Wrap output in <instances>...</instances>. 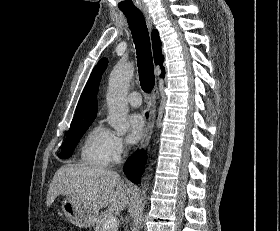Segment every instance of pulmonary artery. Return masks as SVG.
<instances>
[{
	"label": "pulmonary artery",
	"instance_id": "pulmonary-artery-1",
	"mask_svg": "<svg viewBox=\"0 0 280 231\" xmlns=\"http://www.w3.org/2000/svg\"><path fill=\"white\" fill-rule=\"evenodd\" d=\"M127 101L133 107H138L142 103L141 95L134 91L128 94Z\"/></svg>",
	"mask_w": 280,
	"mask_h": 231
}]
</instances>
